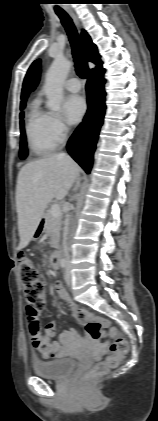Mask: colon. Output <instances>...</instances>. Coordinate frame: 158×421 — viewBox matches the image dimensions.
Wrapping results in <instances>:
<instances>
[{
    "instance_id": "1",
    "label": "colon",
    "mask_w": 158,
    "mask_h": 421,
    "mask_svg": "<svg viewBox=\"0 0 158 421\" xmlns=\"http://www.w3.org/2000/svg\"><path fill=\"white\" fill-rule=\"evenodd\" d=\"M21 282L24 287V293L28 304V310L37 320V312L44 306V282L39 272L32 264L31 260L20 251L18 254ZM79 319L85 325L86 335L92 340H101L109 343L110 355L105 361L94 365L84 376L85 385L92 384L100 376L104 375L109 369L116 367L122 357L129 350V343L115 329L111 328L105 319L93 315L82 314ZM43 355L47 356L46 353Z\"/></svg>"
}]
</instances>
